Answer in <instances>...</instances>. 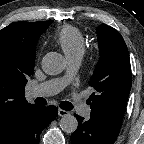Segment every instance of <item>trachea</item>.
Masks as SVG:
<instances>
[{
	"label": "trachea",
	"mask_w": 144,
	"mask_h": 144,
	"mask_svg": "<svg viewBox=\"0 0 144 144\" xmlns=\"http://www.w3.org/2000/svg\"><path fill=\"white\" fill-rule=\"evenodd\" d=\"M60 108L63 109V110H72L73 105L68 101H62L60 103Z\"/></svg>",
	"instance_id": "obj_1"
}]
</instances>
